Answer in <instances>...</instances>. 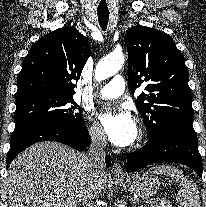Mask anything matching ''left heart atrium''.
<instances>
[{"instance_id": "obj_1", "label": "left heart atrium", "mask_w": 206, "mask_h": 207, "mask_svg": "<svg viewBox=\"0 0 206 207\" xmlns=\"http://www.w3.org/2000/svg\"><path fill=\"white\" fill-rule=\"evenodd\" d=\"M98 118L113 144L125 147L135 140L136 123L126 106H120L114 111L102 112Z\"/></svg>"}]
</instances>
